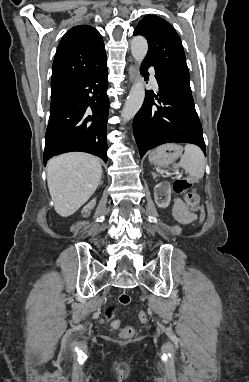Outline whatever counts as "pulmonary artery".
<instances>
[{
	"label": "pulmonary artery",
	"mask_w": 249,
	"mask_h": 382,
	"mask_svg": "<svg viewBox=\"0 0 249 382\" xmlns=\"http://www.w3.org/2000/svg\"><path fill=\"white\" fill-rule=\"evenodd\" d=\"M150 78H151V82H152V84H153L154 86H157V80H156V78H155V74H154V72H151V74H150Z\"/></svg>",
	"instance_id": "1"
}]
</instances>
